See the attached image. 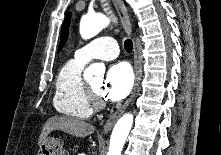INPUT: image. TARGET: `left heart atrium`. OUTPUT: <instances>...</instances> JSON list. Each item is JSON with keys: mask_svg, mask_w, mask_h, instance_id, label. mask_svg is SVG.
Instances as JSON below:
<instances>
[{"mask_svg": "<svg viewBox=\"0 0 221 155\" xmlns=\"http://www.w3.org/2000/svg\"><path fill=\"white\" fill-rule=\"evenodd\" d=\"M133 85V73L128 64L121 62L112 65L102 84L101 95L111 101L125 98Z\"/></svg>", "mask_w": 221, "mask_h": 155, "instance_id": "obj_1", "label": "left heart atrium"}]
</instances>
